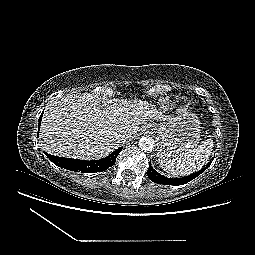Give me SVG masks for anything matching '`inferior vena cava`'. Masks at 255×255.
Wrapping results in <instances>:
<instances>
[{
    "instance_id": "1",
    "label": "inferior vena cava",
    "mask_w": 255,
    "mask_h": 255,
    "mask_svg": "<svg viewBox=\"0 0 255 255\" xmlns=\"http://www.w3.org/2000/svg\"><path fill=\"white\" fill-rule=\"evenodd\" d=\"M116 139L119 140V141L124 142V141H126V134H124V133H117L116 134Z\"/></svg>"
}]
</instances>
